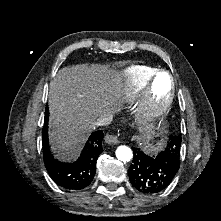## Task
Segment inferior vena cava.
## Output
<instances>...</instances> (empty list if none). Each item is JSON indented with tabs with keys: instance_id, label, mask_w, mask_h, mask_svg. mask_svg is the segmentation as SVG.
<instances>
[{
	"instance_id": "602c4592",
	"label": "inferior vena cava",
	"mask_w": 221,
	"mask_h": 221,
	"mask_svg": "<svg viewBox=\"0 0 221 221\" xmlns=\"http://www.w3.org/2000/svg\"><path fill=\"white\" fill-rule=\"evenodd\" d=\"M112 121H113V115L112 114H103L98 118L95 125L96 126H107V125L111 124Z\"/></svg>"
}]
</instances>
